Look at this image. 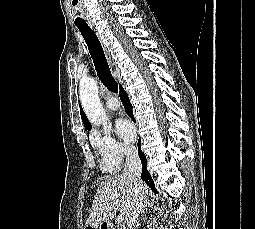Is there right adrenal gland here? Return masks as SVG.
Segmentation results:
<instances>
[{
  "instance_id": "right-adrenal-gland-1",
  "label": "right adrenal gland",
  "mask_w": 255,
  "mask_h": 229,
  "mask_svg": "<svg viewBox=\"0 0 255 229\" xmlns=\"http://www.w3.org/2000/svg\"><path fill=\"white\" fill-rule=\"evenodd\" d=\"M150 206H152V204L150 203L148 199H146L140 213L141 214L144 213L145 210H147Z\"/></svg>"
}]
</instances>
